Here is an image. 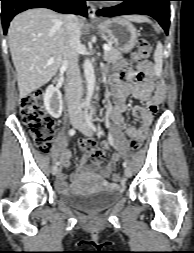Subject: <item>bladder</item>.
Segmentation results:
<instances>
[{"mask_svg": "<svg viewBox=\"0 0 194 253\" xmlns=\"http://www.w3.org/2000/svg\"><path fill=\"white\" fill-rule=\"evenodd\" d=\"M123 197V191L114 185H105L92 191H70L60 196L66 204L87 212L111 207Z\"/></svg>", "mask_w": 194, "mask_h": 253, "instance_id": "31cf9c89", "label": "bladder"}]
</instances>
